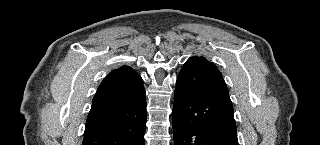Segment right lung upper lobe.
I'll use <instances>...</instances> for the list:
<instances>
[{"instance_id": "right-lung-upper-lobe-1", "label": "right lung upper lobe", "mask_w": 320, "mask_h": 145, "mask_svg": "<svg viewBox=\"0 0 320 145\" xmlns=\"http://www.w3.org/2000/svg\"><path fill=\"white\" fill-rule=\"evenodd\" d=\"M136 77H139V75L129 66H121L111 71L99 86L89 113L104 108L106 104L114 101V97L117 94L112 92V90Z\"/></svg>"}]
</instances>
